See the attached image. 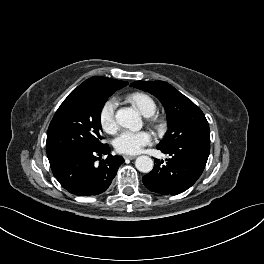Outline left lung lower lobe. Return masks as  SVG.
Returning a JSON list of instances; mask_svg holds the SVG:
<instances>
[{
  "mask_svg": "<svg viewBox=\"0 0 264 264\" xmlns=\"http://www.w3.org/2000/svg\"><path fill=\"white\" fill-rule=\"evenodd\" d=\"M171 157L166 163L155 159L153 170L143 176L150 191L176 195L190 188L202 174L210 152V142L184 141L169 148L157 147Z\"/></svg>",
  "mask_w": 264,
  "mask_h": 264,
  "instance_id": "0a47b994",
  "label": "left lung lower lobe"
}]
</instances>
